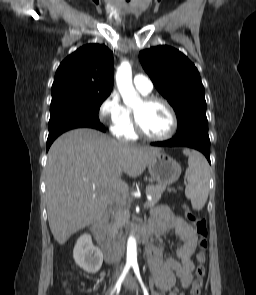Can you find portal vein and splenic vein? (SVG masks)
Returning <instances> with one entry per match:
<instances>
[{
  "instance_id": "portal-vein-and-splenic-vein-1",
  "label": "portal vein and splenic vein",
  "mask_w": 256,
  "mask_h": 295,
  "mask_svg": "<svg viewBox=\"0 0 256 295\" xmlns=\"http://www.w3.org/2000/svg\"><path fill=\"white\" fill-rule=\"evenodd\" d=\"M147 204H148V202H145V204H144V207H146V206H147Z\"/></svg>"
}]
</instances>
